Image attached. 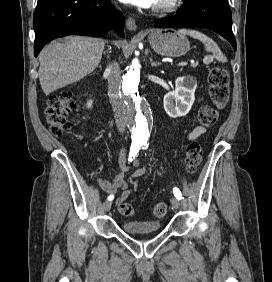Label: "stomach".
Masks as SVG:
<instances>
[{
    "mask_svg": "<svg viewBox=\"0 0 272 282\" xmlns=\"http://www.w3.org/2000/svg\"><path fill=\"white\" fill-rule=\"evenodd\" d=\"M148 40L152 49L163 56L179 57L190 50L188 39L172 29L151 30Z\"/></svg>",
    "mask_w": 272,
    "mask_h": 282,
    "instance_id": "1",
    "label": "stomach"
}]
</instances>
